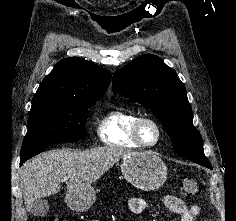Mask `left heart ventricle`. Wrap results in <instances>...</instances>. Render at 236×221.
Segmentation results:
<instances>
[{
  "instance_id": "b2bd125f",
  "label": "left heart ventricle",
  "mask_w": 236,
  "mask_h": 221,
  "mask_svg": "<svg viewBox=\"0 0 236 221\" xmlns=\"http://www.w3.org/2000/svg\"><path fill=\"white\" fill-rule=\"evenodd\" d=\"M141 137L146 143H152L157 137L155 127L150 123H144L141 129Z\"/></svg>"
}]
</instances>
